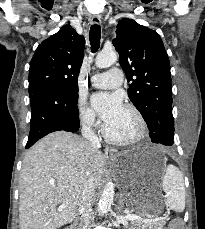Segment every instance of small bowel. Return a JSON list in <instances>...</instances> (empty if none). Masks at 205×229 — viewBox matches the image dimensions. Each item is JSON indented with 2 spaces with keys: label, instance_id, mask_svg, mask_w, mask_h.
I'll return each mask as SVG.
<instances>
[{
  "label": "small bowel",
  "instance_id": "small-bowel-1",
  "mask_svg": "<svg viewBox=\"0 0 205 229\" xmlns=\"http://www.w3.org/2000/svg\"><path fill=\"white\" fill-rule=\"evenodd\" d=\"M165 229H181V224L179 221H174L169 226H167Z\"/></svg>",
  "mask_w": 205,
  "mask_h": 229
}]
</instances>
